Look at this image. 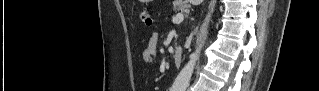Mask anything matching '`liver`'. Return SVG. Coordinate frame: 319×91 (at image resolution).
<instances>
[{"mask_svg": "<svg viewBox=\"0 0 319 91\" xmlns=\"http://www.w3.org/2000/svg\"><path fill=\"white\" fill-rule=\"evenodd\" d=\"M188 2H190L193 5H198V4H200L202 2V0H188Z\"/></svg>", "mask_w": 319, "mask_h": 91, "instance_id": "6515ba94", "label": "liver"}]
</instances>
